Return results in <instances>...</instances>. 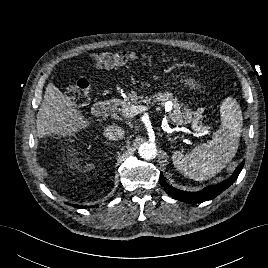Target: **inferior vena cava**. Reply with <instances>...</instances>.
I'll return each mask as SVG.
<instances>
[{
	"label": "inferior vena cava",
	"mask_w": 268,
	"mask_h": 268,
	"mask_svg": "<svg viewBox=\"0 0 268 268\" xmlns=\"http://www.w3.org/2000/svg\"><path fill=\"white\" fill-rule=\"evenodd\" d=\"M125 131L118 125H110L105 128L104 135L110 140H121L124 137Z\"/></svg>",
	"instance_id": "1"
}]
</instances>
